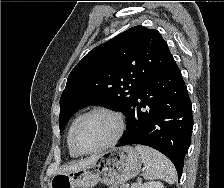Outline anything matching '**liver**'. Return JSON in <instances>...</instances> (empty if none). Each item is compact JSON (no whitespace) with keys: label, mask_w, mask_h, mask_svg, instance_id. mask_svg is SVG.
I'll use <instances>...</instances> for the list:
<instances>
[{"label":"liver","mask_w":224,"mask_h":188,"mask_svg":"<svg viewBox=\"0 0 224 188\" xmlns=\"http://www.w3.org/2000/svg\"><path fill=\"white\" fill-rule=\"evenodd\" d=\"M98 157H99V155H93L86 159H81V160L76 161L70 165L62 167L58 173H66V172H71V171H75V170L84 168V167L92 164Z\"/></svg>","instance_id":"6515ba94"}]
</instances>
